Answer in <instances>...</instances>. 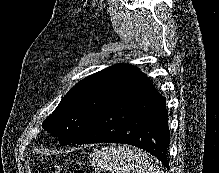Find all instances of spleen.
<instances>
[{"mask_svg": "<svg viewBox=\"0 0 219 173\" xmlns=\"http://www.w3.org/2000/svg\"><path fill=\"white\" fill-rule=\"evenodd\" d=\"M90 159L97 169L110 173H163L146 153L135 148L110 146L95 149Z\"/></svg>", "mask_w": 219, "mask_h": 173, "instance_id": "1", "label": "spleen"}]
</instances>
